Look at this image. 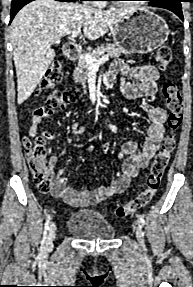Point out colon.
Masks as SVG:
<instances>
[{"instance_id":"1","label":"colon","mask_w":193,"mask_h":287,"mask_svg":"<svg viewBox=\"0 0 193 287\" xmlns=\"http://www.w3.org/2000/svg\"><path fill=\"white\" fill-rule=\"evenodd\" d=\"M173 61L169 47L162 46L156 54V63L161 69H168ZM63 77L62 65L59 60H54L42 80V88L49 89L60 82ZM163 96L168 109L167 124L169 132L164 137L160 150L156 154L146 177V187L136 197L125 205L116 209L120 218L127 217L144 208L154 197L160 187L163 174L169 164L170 157L176 147V131L182 123L183 102L178 86L173 82H166L162 88ZM80 91L68 88L61 93L49 95L45 105L39 107L34 117H46L56 107L65 108L79 101ZM26 155L32 172V179L39 191L45 193L50 189L52 165L47 154L45 139L37 137L34 140H25Z\"/></svg>"}]
</instances>
